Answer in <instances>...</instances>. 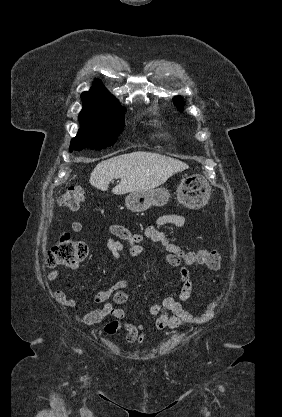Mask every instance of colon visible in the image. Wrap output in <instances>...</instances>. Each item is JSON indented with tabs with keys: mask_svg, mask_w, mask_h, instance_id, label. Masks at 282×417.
<instances>
[{
	"mask_svg": "<svg viewBox=\"0 0 282 417\" xmlns=\"http://www.w3.org/2000/svg\"><path fill=\"white\" fill-rule=\"evenodd\" d=\"M83 190L70 187L59 198V203L66 208H76L83 202ZM88 255L87 246L80 242L61 236L49 249L46 263L50 268L79 265ZM186 263H198L204 268L215 270L220 265V255L215 250H199L186 257Z\"/></svg>",
	"mask_w": 282,
	"mask_h": 417,
	"instance_id": "obj_1",
	"label": "colon"
}]
</instances>
